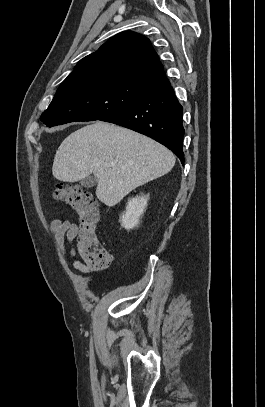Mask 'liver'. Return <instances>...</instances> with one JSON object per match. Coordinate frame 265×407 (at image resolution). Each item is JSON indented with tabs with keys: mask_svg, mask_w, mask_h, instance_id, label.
<instances>
[{
	"mask_svg": "<svg viewBox=\"0 0 265 407\" xmlns=\"http://www.w3.org/2000/svg\"><path fill=\"white\" fill-rule=\"evenodd\" d=\"M175 161L173 153L153 139L97 121L63 140L52 172L57 180L70 183L93 174L97 198L111 207L136 187L167 174Z\"/></svg>",
	"mask_w": 265,
	"mask_h": 407,
	"instance_id": "6515ba94",
	"label": "liver"
}]
</instances>
